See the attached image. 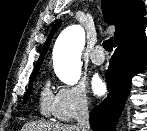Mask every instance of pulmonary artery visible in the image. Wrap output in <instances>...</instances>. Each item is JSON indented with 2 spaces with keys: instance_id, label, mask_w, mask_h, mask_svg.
I'll list each match as a JSON object with an SVG mask.
<instances>
[{
  "instance_id": "e3ab8cb5",
  "label": "pulmonary artery",
  "mask_w": 147,
  "mask_h": 131,
  "mask_svg": "<svg viewBox=\"0 0 147 131\" xmlns=\"http://www.w3.org/2000/svg\"><path fill=\"white\" fill-rule=\"evenodd\" d=\"M90 59L94 64H97V65H100L104 62L105 57H104L102 46L97 45L91 50Z\"/></svg>"
}]
</instances>
